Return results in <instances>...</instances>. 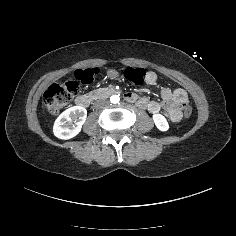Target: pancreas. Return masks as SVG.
I'll return each instance as SVG.
<instances>
[{"instance_id":"pancreas-1","label":"pancreas","mask_w":236,"mask_h":236,"mask_svg":"<svg viewBox=\"0 0 236 236\" xmlns=\"http://www.w3.org/2000/svg\"><path fill=\"white\" fill-rule=\"evenodd\" d=\"M88 95L93 99H97L99 97V90L97 89L92 90L91 92L88 93Z\"/></svg>"}]
</instances>
